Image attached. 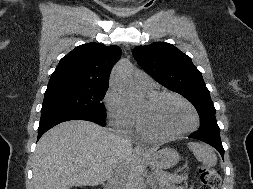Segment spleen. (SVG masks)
I'll return each mask as SVG.
<instances>
[{
    "label": "spleen",
    "mask_w": 253,
    "mask_h": 189,
    "mask_svg": "<svg viewBox=\"0 0 253 189\" xmlns=\"http://www.w3.org/2000/svg\"><path fill=\"white\" fill-rule=\"evenodd\" d=\"M188 148L193 152L196 159L205 166H213L216 164L217 157L211 146L204 143L189 142Z\"/></svg>",
    "instance_id": "3e777b00"
}]
</instances>
